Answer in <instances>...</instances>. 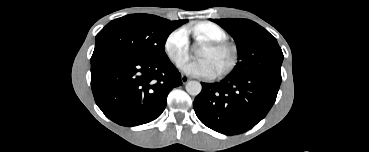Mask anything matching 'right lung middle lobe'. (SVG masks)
Here are the masks:
<instances>
[{"label":"right lung middle lobe","mask_w":369,"mask_h":152,"mask_svg":"<svg viewBox=\"0 0 369 152\" xmlns=\"http://www.w3.org/2000/svg\"><path fill=\"white\" fill-rule=\"evenodd\" d=\"M176 28L171 21L149 14H131L112 20L96 35L91 63L111 56L141 60L167 58L164 45Z\"/></svg>","instance_id":"right-lung-middle-lobe-1"}]
</instances>
